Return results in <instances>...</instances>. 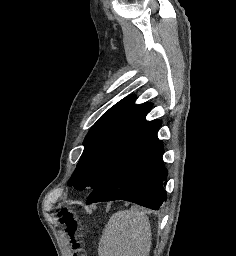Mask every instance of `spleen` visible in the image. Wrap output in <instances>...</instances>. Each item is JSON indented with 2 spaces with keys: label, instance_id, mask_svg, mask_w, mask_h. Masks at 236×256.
I'll return each instance as SVG.
<instances>
[{
  "label": "spleen",
  "instance_id": "spleen-1",
  "mask_svg": "<svg viewBox=\"0 0 236 256\" xmlns=\"http://www.w3.org/2000/svg\"><path fill=\"white\" fill-rule=\"evenodd\" d=\"M151 226L148 216L132 206L108 220L98 246V256H149Z\"/></svg>",
  "mask_w": 236,
  "mask_h": 256
}]
</instances>
